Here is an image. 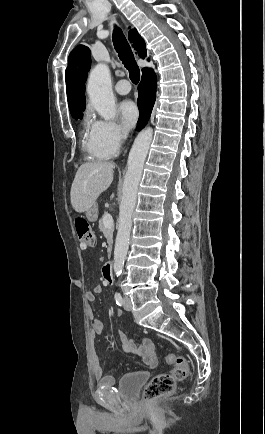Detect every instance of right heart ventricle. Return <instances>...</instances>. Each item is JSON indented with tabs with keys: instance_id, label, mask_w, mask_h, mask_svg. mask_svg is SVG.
Wrapping results in <instances>:
<instances>
[{
	"instance_id": "e07e8e85",
	"label": "right heart ventricle",
	"mask_w": 265,
	"mask_h": 434,
	"mask_svg": "<svg viewBox=\"0 0 265 434\" xmlns=\"http://www.w3.org/2000/svg\"><path fill=\"white\" fill-rule=\"evenodd\" d=\"M89 125V115L88 113L84 114L83 117V126H84V134L82 138V148L84 152L87 154L88 160L90 161H103L109 159L106 154H93L91 151L92 144L88 130Z\"/></svg>"
}]
</instances>
